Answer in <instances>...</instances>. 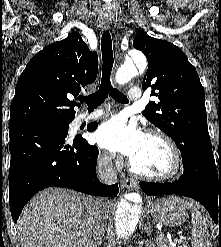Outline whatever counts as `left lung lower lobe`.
Returning <instances> with one entry per match:
<instances>
[{"label":"left lung lower lobe","mask_w":221,"mask_h":247,"mask_svg":"<svg viewBox=\"0 0 221 247\" xmlns=\"http://www.w3.org/2000/svg\"><path fill=\"white\" fill-rule=\"evenodd\" d=\"M184 173L172 183L140 182L147 195L176 194L199 201L221 224V165L216 167L211 142H203L182 157Z\"/></svg>","instance_id":"obj_1"}]
</instances>
